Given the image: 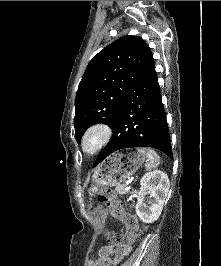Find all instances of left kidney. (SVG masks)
<instances>
[{
    "mask_svg": "<svg viewBox=\"0 0 221 266\" xmlns=\"http://www.w3.org/2000/svg\"><path fill=\"white\" fill-rule=\"evenodd\" d=\"M140 185L136 214L144 223H153L161 215L169 191L168 175L160 170L145 173Z\"/></svg>",
    "mask_w": 221,
    "mask_h": 266,
    "instance_id": "obj_1",
    "label": "left kidney"
}]
</instances>
